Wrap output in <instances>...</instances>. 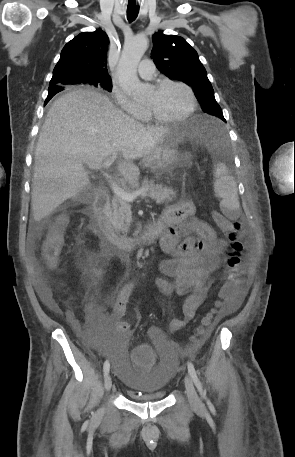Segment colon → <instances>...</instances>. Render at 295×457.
<instances>
[{"label":"colon","mask_w":295,"mask_h":457,"mask_svg":"<svg viewBox=\"0 0 295 457\" xmlns=\"http://www.w3.org/2000/svg\"><path fill=\"white\" fill-rule=\"evenodd\" d=\"M213 220L223 231L230 243V252L226 257V267L223 277L226 283L220 290L222 302L231 305L238 297L239 289L242 284L244 274L243 254L247 242L243 235V225L237 221H231L222 214L213 213ZM64 221L61 220L57 226L47 235L42 245V254L46 263L50 267H55L58 263L59 254L63 243ZM213 315L210 314L203 319L198 339H201L211 327ZM131 359L135 360L132 364L133 372H153L154 371V347L153 346H133Z\"/></svg>","instance_id":"5ec220e1"}]
</instances>
